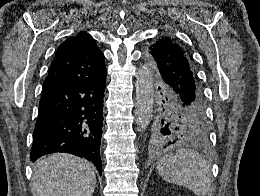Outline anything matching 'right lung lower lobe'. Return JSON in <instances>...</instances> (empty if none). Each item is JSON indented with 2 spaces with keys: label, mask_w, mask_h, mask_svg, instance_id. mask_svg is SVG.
Here are the masks:
<instances>
[{
  "label": "right lung lower lobe",
  "mask_w": 260,
  "mask_h": 196,
  "mask_svg": "<svg viewBox=\"0 0 260 196\" xmlns=\"http://www.w3.org/2000/svg\"><path fill=\"white\" fill-rule=\"evenodd\" d=\"M106 74L41 96L30 159L65 152L92 161L102 174L100 142Z\"/></svg>",
  "instance_id": "right-lung-lower-lobe-1"
}]
</instances>
